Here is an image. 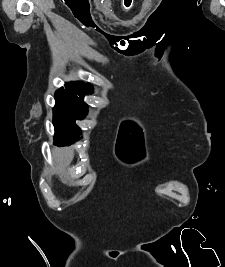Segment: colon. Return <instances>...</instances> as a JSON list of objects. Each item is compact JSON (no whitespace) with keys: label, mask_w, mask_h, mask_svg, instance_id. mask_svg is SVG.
I'll return each mask as SVG.
<instances>
[{"label":"colon","mask_w":225,"mask_h":267,"mask_svg":"<svg viewBox=\"0 0 225 267\" xmlns=\"http://www.w3.org/2000/svg\"><path fill=\"white\" fill-rule=\"evenodd\" d=\"M125 1H127V0H124V7H125L126 9H129L130 6H131V0H128L127 2H125Z\"/></svg>","instance_id":"colon-1"}]
</instances>
